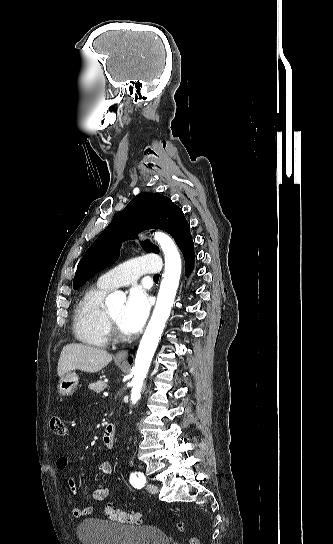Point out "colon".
Wrapping results in <instances>:
<instances>
[{
	"label": "colon",
	"mask_w": 333,
	"mask_h": 544,
	"mask_svg": "<svg viewBox=\"0 0 333 544\" xmlns=\"http://www.w3.org/2000/svg\"><path fill=\"white\" fill-rule=\"evenodd\" d=\"M50 428L55 435L65 436L67 429L64 421L60 417H53L50 420ZM105 515L107 518L130 525H140L143 523V517L138 512L119 510L109 505L105 509ZM178 528L184 530V524L179 523ZM189 544H200L198 539L193 537L190 539Z\"/></svg>",
	"instance_id": "colon-1"
}]
</instances>
